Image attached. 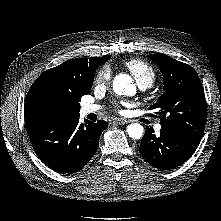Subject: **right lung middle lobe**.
I'll return each instance as SVG.
<instances>
[{
  "mask_svg": "<svg viewBox=\"0 0 221 221\" xmlns=\"http://www.w3.org/2000/svg\"><path fill=\"white\" fill-rule=\"evenodd\" d=\"M87 88L70 87L49 77L37 78L27 93L24 116L46 119L79 112L81 97L90 93Z\"/></svg>",
  "mask_w": 221,
  "mask_h": 221,
  "instance_id": "1",
  "label": "right lung middle lobe"
}]
</instances>
